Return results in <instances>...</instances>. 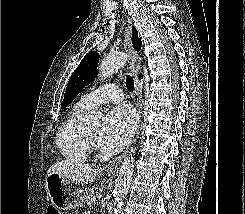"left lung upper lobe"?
Wrapping results in <instances>:
<instances>
[{"mask_svg": "<svg viewBox=\"0 0 245 214\" xmlns=\"http://www.w3.org/2000/svg\"><path fill=\"white\" fill-rule=\"evenodd\" d=\"M98 62V53L89 52L86 54L68 81L64 99L61 103L62 108L69 105L78 95V93L95 79L97 75Z\"/></svg>", "mask_w": 245, "mask_h": 214, "instance_id": "obj_1", "label": "left lung upper lobe"}]
</instances>
